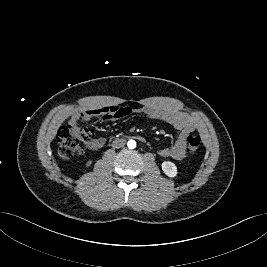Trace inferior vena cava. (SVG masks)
Instances as JSON below:
<instances>
[{
    "instance_id": "obj_1",
    "label": "inferior vena cava",
    "mask_w": 267,
    "mask_h": 267,
    "mask_svg": "<svg viewBox=\"0 0 267 267\" xmlns=\"http://www.w3.org/2000/svg\"><path fill=\"white\" fill-rule=\"evenodd\" d=\"M126 141L124 139H116L112 143L113 148H122L124 147Z\"/></svg>"
}]
</instances>
